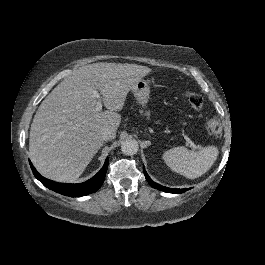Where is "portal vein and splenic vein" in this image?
Masks as SVG:
<instances>
[{
    "instance_id": "portal-vein-and-splenic-vein-1",
    "label": "portal vein and splenic vein",
    "mask_w": 265,
    "mask_h": 265,
    "mask_svg": "<svg viewBox=\"0 0 265 265\" xmlns=\"http://www.w3.org/2000/svg\"><path fill=\"white\" fill-rule=\"evenodd\" d=\"M92 96L95 97V98H99L98 91L95 90V89L92 90ZM101 109H102V105L100 103H97L96 106H95V112H100ZM154 123H158V120H154ZM160 124H165V121H160ZM179 133H182V130H179ZM182 136L184 137V139L186 141V144L193 145V142L188 138V136H186V133H182ZM192 149L195 150V151H199L200 147L196 146V145H193Z\"/></svg>"
}]
</instances>
